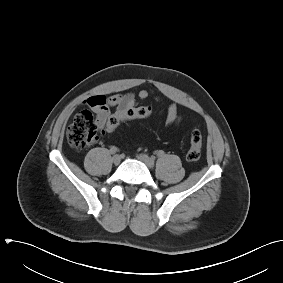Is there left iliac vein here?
Here are the masks:
<instances>
[{
  "label": "left iliac vein",
  "mask_w": 283,
  "mask_h": 283,
  "mask_svg": "<svg viewBox=\"0 0 283 283\" xmlns=\"http://www.w3.org/2000/svg\"><path fill=\"white\" fill-rule=\"evenodd\" d=\"M137 158L143 162L149 169H152L154 167V160L150 158L146 154H139L137 155Z\"/></svg>",
  "instance_id": "4c4485c4"
}]
</instances>
